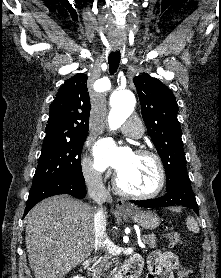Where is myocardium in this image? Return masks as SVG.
I'll list each match as a JSON object with an SVG mask.
<instances>
[{"label": "myocardium", "instance_id": "1", "mask_svg": "<svg viewBox=\"0 0 221 278\" xmlns=\"http://www.w3.org/2000/svg\"><path fill=\"white\" fill-rule=\"evenodd\" d=\"M134 153L137 155L150 157L155 161L159 173V179L156 188L153 191L146 192V193H137V192L129 191L123 188L122 185L120 184L118 173H116L113 178V186L120 194L128 198H133V199L155 198L163 191L166 184V170L163 161L155 152L148 149L138 148L134 151Z\"/></svg>", "mask_w": 221, "mask_h": 278}]
</instances>
